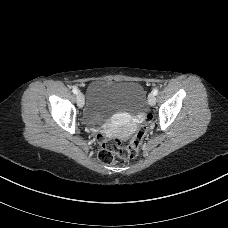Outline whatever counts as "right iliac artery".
Returning <instances> with one entry per match:
<instances>
[{"mask_svg": "<svg viewBox=\"0 0 228 228\" xmlns=\"http://www.w3.org/2000/svg\"><path fill=\"white\" fill-rule=\"evenodd\" d=\"M72 92H73L74 94H78V89H77V88H73V89H72Z\"/></svg>", "mask_w": 228, "mask_h": 228, "instance_id": "82829eb1", "label": "right iliac artery"}]
</instances>
